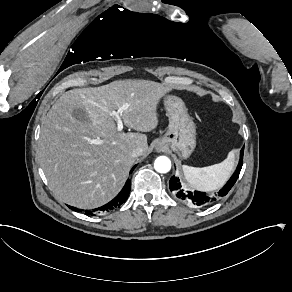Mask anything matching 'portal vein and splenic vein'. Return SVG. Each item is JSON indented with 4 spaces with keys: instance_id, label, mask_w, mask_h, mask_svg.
Instances as JSON below:
<instances>
[{
    "instance_id": "portal-vein-and-splenic-vein-1",
    "label": "portal vein and splenic vein",
    "mask_w": 292,
    "mask_h": 292,
    "mask_svg": "<svg viewBox=\"0 0 292 292\" xmlns=\"http://www.w3.org/2000/svg\"><path fill=\"white\" fill-rule=\"evenodd\" d=\"M122 112H123V110L119 109L118 111H113L111 114L112 116H114L116 118L118 128L120 130L123 128V124H124V121L122 120ZM126 123H129V122H126ZM91 142L93 143L94 141L91 140Z\"/></svg>"
}]
</instances>
